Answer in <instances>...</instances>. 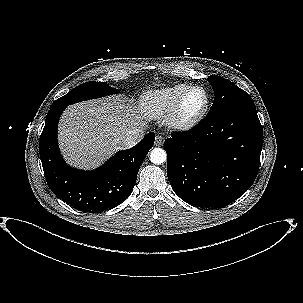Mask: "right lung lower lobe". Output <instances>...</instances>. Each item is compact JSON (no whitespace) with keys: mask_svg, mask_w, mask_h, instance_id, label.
I'll use <instances>...</instances> for the list:
<instances>
[{"mask_svg":"<svg viewBox=\"0 0 303 303\" xmlns=\"http://www.w3.org/2000/svg\"><path fill=\"white\" fill-rule=\"evenodd\" d=\"M65 106H51L39 140L40 158L49 188L57 197L83 212L98 213L120 205L131 194L137 173L155 134L119 151L103 166L80 171L66 165L57 144V124Z\"/></svg>","mask_w":303,"mask_h":303,"instance_id":"1","label":"right lung lower lobe"}]
</instances>
